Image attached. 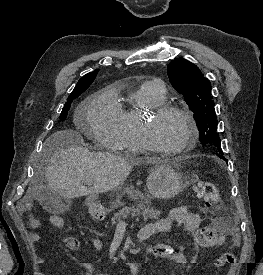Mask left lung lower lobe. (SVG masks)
Masks as SVG:
<instances>
[{
    "instance_id": "0a47b994",
    "label": "left lung lower lobe",
    "mask_w": 263,
    "mask_h": 275,
    "mask_svg": "<svg viewBox=\"0 0 263 275\" xmlns=\"http://www.w3.org/2000/svg\"><path fill=\"white\" fill-rule=\"evenodd\" d=\"M211 151H212L213 154L217 155L218 157H220L221 159L225 160V161L228 163V161H227V159L225 158L223 152H218V151H216V150H211Z\"/></svg>"
}]
</instances>
